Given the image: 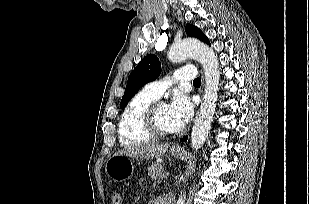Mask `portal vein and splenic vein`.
<instances>
[{"label":"portal vein and splenic vein","instance_id":"18ae733b","mask_svg":"<svg viewBox=\"0 0 309 204\" xmlns=\"http://www.w3.org/2000/svg\"><path fill=\"white\" fill-rule=\"evenodd\" d=\"M164 175H165V177H166V176H168V175H169V173H168V172H165V173H164Z\"/></svg>","mask_w":309,"mask_h":204}]
</instances>
